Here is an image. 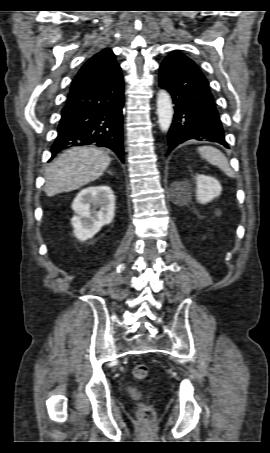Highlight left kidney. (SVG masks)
<instances>
[{"instance_id":"5707ae66","label":"left kidney","mask_w":270,"mask_h":453,"mask_svg":"<svg viewBox=\"0 0 270 453\" xmlns=\"http://www.w3.org/2000/svg\"><path fill=\"white\" fill-rule=\"evenodd\" d=\"M196 184V199L201 204H206L221 195L222 187L220 183L211 176L198 175L196 178ZM178 190L184 192L187 197L189 196L187 189L179 188ZM220 214L221 212L217 211V215Z\"/></svg>"}]
</instances>
